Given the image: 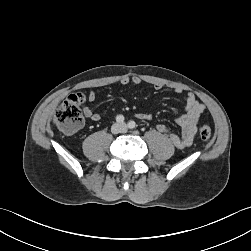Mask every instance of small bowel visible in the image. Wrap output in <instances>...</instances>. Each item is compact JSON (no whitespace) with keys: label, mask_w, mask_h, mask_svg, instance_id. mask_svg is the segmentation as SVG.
Segmentation results:
<instances>
[{"label":"small bowel","mask_w":251,"mask_h":251,"mask_svg":"<svg viewBox=\"0 0 251 251\" xmlns=\"http://www.w3.org/2000/svg\"><path fill=\"white\" fill-rule=\"evenodd\" d=\"M138 85L141 83V79L137 76L128 77L123 76L120 79V84ZM156 90L162 88L161 84H154ZM175 93H181L182 89L175 88ZM88 101L93 102L96 99V93L90 91L87 96ZM204 111V105L195 97L194 94L188 93L186 98L185 112L182 115L175 117L174 121L182 129L181 135L171 131L166 125H157V130L160 132L167 133L172 144L178 149H184L191 146L196 138L198 130V121L201 114ZM83 114L85 117L92 121H99L100 115L94 112L89 106H83ZM135 117L139 120H150L152 115L150 113L139 112L135 114Z\"/></svg>","instance_id":"small-bowel-1"}]
</instances>
